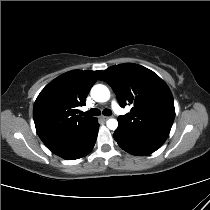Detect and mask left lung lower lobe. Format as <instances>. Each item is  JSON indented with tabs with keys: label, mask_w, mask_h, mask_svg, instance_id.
<instances>
[{
	"label": "left lung lower lobe",
	"mask_w": 210,
	"mask_h": 210,
	"mask_svg": "<svg viewBox=\"0 0 210 210\" xmlns=\"http://www.w3.org/2000/svg\"><path fill=\"white\" fill-rule=\"evenodd\" d=\"M114 139L123 150L137 156L151 154L165 142L163 139L131 134L119 128L114 132Z\"/></svg>",
	"instance_id": "0a47b994"
}]
</instances>
